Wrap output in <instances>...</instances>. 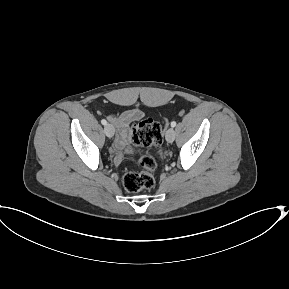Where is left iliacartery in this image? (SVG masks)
I'll use <instances>...</instances> for the list:
<instances>
[{"mask_svg":"<svg viewBox=\"0 0 289 289\" xmlns=\"http://www.w3.org/2000/svg\"><path fill=\"white\" fill-rule=\"evenodd\" d=\"M176 126V122L175 121H172L171 122V127H175Z\"/></svg>","mask_w":289,"mask_h":289,"instance_id":"44dca946","label":"left iliac artery"}]
</instances>
